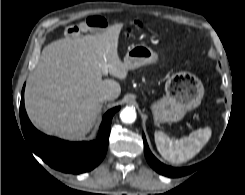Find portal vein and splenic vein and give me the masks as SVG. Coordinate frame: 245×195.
I'll list each match as a JSON object with an SVG mask.
<instances>
[{
    "label": "portal vein and splenic vein",
    "instance_id": "portal-vein-and-splenic-vein-1",
    "mask_svg": "<svg viewBox=\"0 0 245 195\" xmlns=\"http://www.w3.org/2000/svg\"><path fill=\"white\" fill-rule=\"evenodd\" d=\"M103 74L104 75H107L108 74V67H107V65H104L103 66Z\"/></svg>",
    "mask_w": 245,
    "mask_h": 195
}]
</instances>
